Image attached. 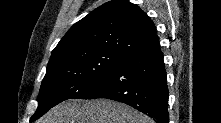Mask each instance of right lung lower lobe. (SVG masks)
Here are the masks:
<instances>
[{
    "label": "right lung lower lobe",
    "mask_w": 221,
    "mask_h": 123,
    "mask_svg": "<svg viewBox=\"0 0 221 123\" xmlns=\"http://www.w3.org/2000/svg\"><path fill=\"white\" fill-rule=\"evenodd\" d=\"M168 87L163 53L159 47L131 53L97 84L87 99L107 98L128 104L167 123Z\"/></svg>",
    "instance_id": "obj_1"
}]
</instances>
